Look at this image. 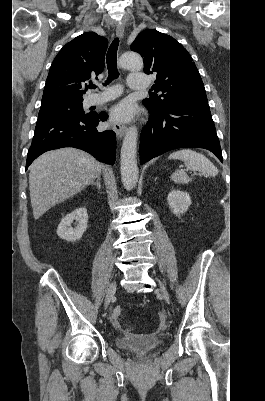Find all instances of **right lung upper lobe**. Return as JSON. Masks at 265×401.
I'll return each mask as SVG.
<instances>
[{"mask_svg": "<svg viewBox=\"0 0 265 401\" xmlns=\"http://www.w3.org/2000/svg\"><path fill=\"white\" fill-rule=\"evenodd\" d=\"M106 49V38L94 32L84 33L63 46L50 67L41 105L83 99L81 82L102 72Z\"/></svg>", "mask_w": 265, "mask_h": 401, "instance_id": "obj_1", "label": "right lung upper lobe"}]
</instances>
